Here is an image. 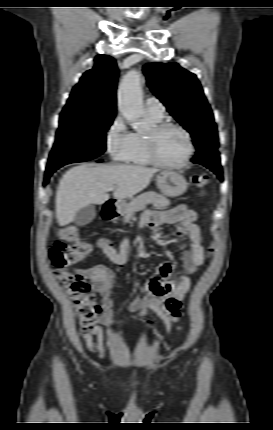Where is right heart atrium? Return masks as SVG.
Here are the masks:
<instances>
[{"mask_svg":"<svg viewBox=\"0 0 273 430\" xmlns=\"http://www.w3.org/2000/svg\"><path fill=\"white\" fill-rule=\"evenodd\" d=\"M105 144L111 158L118 162H127L134 148V133L130 132L123 120L118 115L109 125Z\"/></svg>","mask_w":273,"mask_h":430,"instance_id":"1","label":"right heart atrium"}]
</instances>
